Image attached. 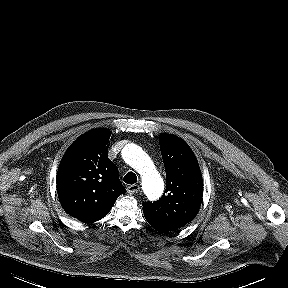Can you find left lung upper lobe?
<instances>
[{
  "label": "left lung upper lobe",
  "mask_w": 288,
  "mask_h": 288,
  "mask_svg": "<svg viewBox=\"0 0 288 288\" xmlns=\"http://www.w3.org/2000/svg\"><path fill=\"white\" fill-rule=\"evenodd\" d=\"M166 171V190L155 202L143 203V212L175 230L197 215L203 195L198 161L190 147L175 135H159Z\"/></svg>",
  "instance_id": "left-lung-upper-lobe-1"
}]
</instances>
